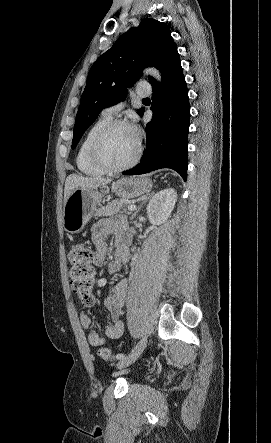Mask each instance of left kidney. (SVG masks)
<instances>
[{"instance_id": "obj_1", "label": "left kidney", "mask_w": 271, "mask_h": 443, "mask_svg": "<svg viewBox=\"0 0 271 443\" xmlns=\"http://www.w3.org/2000/svg\"><path fill=\"white\" fill-rule=\"evenodd\" d=\"M176 202L177 192L173 188H167V190H161V192L155 194L147 206V216L150 223L160 225V223L168 220Z\"/></svg>"}]
</instances>
